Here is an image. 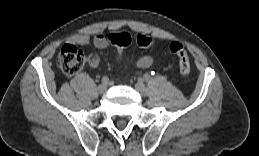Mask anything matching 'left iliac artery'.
I'll return each mask as SVG.
<instances>
[{"label":"left iliac artery","instance_id":"1","mask_svg":"<svg viewBox=\"0 0 259 156\" xmlns=\"http://www.w3.org/2000/svg\"><path fill=\"white\" fill-rule=\"evenodd\" d=\"M153 74H154V72H153ZM143 78H144L145 81H148L150 79V75L149 74H145L143 76Z\"/></svg>","mask_w":259,"mask_h":156}]
</instances>
